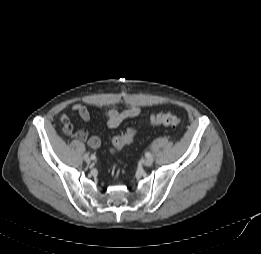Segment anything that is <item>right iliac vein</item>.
Masks as SVG:
<instances>
[{
    "label": "right iliac vein",
    "mask_w": 261,
    "mask_h": 254,
    "mask_svg": "<svg viewBox=\"0 0 261 254\" xmlns=\"http://www.w3.org/2000/svg\"><path fill=\"white\" fill-rule=\"evenodd\" d=\"M84 161L86 162V163H90L91 162V158L86 154V155H84Z\"/></svg>",
    "instance_id": "1"
}]
</instances>
